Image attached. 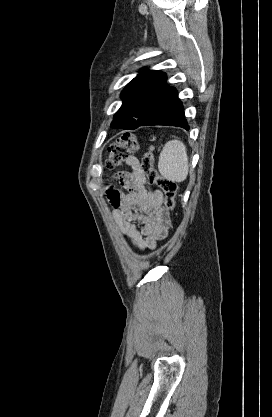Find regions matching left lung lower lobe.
Wrapping results in <instances>:
<instances>
[{"label":"left lung lower lobe","mask_w":272,"mask_h":417,"mask_svg":"<svg viewBox=\"0 0 272 417\" xmlns=\"http://www.w3.org/2000/svg\"><path fill=\"white\" fill-rule=\"evenodd\" d=\"M147 125H169L178 126L186 130L189 129L184 116L183 105L178 98V92L175 88L141 126Z\"/></svg>","instance_id":"0a47b994"}]
</instances>
